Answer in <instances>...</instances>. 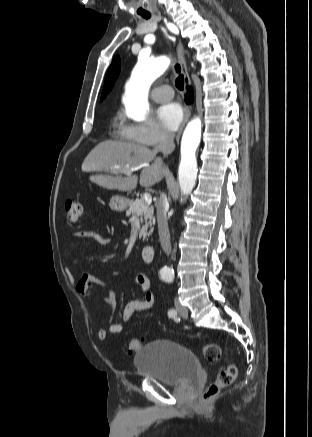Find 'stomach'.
Segmentation results:
<instances>
[{
    "label": "stomach",
    "mask_w": 312,
    "mask_h": 437,
    "mask_svg": "<svg viewBox=\"0 0 312 437\" xmlns=\"http://www.w3.org/2000/svg\"><path fill=\"white\" fill-rule=\"evenodd\" d=\"M129 205V200L123 196L115 195L110 199L109 206L113 211L123 212Z\"/></svg>",
    "instance_id": "obj_1"
}]
</instances>
